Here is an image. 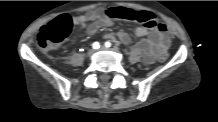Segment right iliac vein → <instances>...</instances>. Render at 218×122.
I'll list each match as a JSON object with an SVG mask.
<instances>
[{
	"label": "right iliac vein",
	"instance_id": "1",
	"mask_svg": "<svg viewBox=\"0 0 218 122\" xmlns=\"http://www.w3.org/2000/svg\"><path fill=\"white\" fill-rule=\"evenodd\" d=\"M94 49H90L89 51H88V53H87V56L89 57V58H91L92 56H93V54H94Z\"/></svg>",
	"mask_w": 218,
	"mask_h": 122
}]
</instances>
